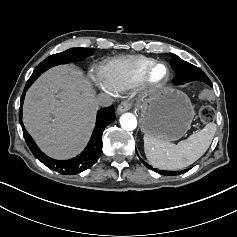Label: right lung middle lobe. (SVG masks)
I'll use <instances>...</instances> for the list:
<instances>
[{"label": "right lung middle lobe", "instance_id": "obj_1", "mask_svg": "<svg viewBox=\"0 0 237 237\" xmlns=\"http://www.w3.org/2000/svg\"><path fill=\"white\" fill-rule=\"evenodd\" d=\"M92 52V48H72L64 52L51 55L36 67L31 75V78L34 80L37 79L43 72L53 66L83 60L87 56L91 55Z\"/></svg>", "mask_w": 237, "mask_h": 237}]
</instances>
